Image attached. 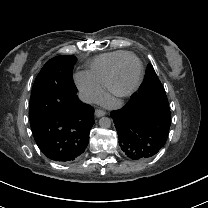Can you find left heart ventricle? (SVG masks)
Here are the masks:
<instances>
[{
	"label": "left heart ventricle",
	"instance_id": "obj_1",
	"mask_svg": "<svg viewBox=\"0 0 208 208\" xmlns=\"http://www.w3.org/2000/svg\"><path fill=\"white\" fill-rule=\"evenodd\" d=\"M139 70L140 66L137 60H128L118 72L116 88L118 90H128L131 88L139 76Z\"/></svg>",
	"mask_w": 208,
	"mask_h": 208
}]
</instances>
